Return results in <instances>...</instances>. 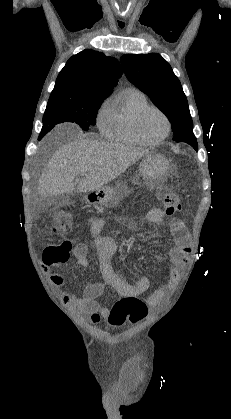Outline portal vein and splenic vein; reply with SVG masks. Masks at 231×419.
I'll return each instance as SVG.
<instances>
[{"mask_svg":"<svg viewBox=\"0 0 231 419\" xmlns=\"http://www.w3.org/2000/svg\"><path fill=\"white\" fill-rule=\"evenodd\" d=\"M85 175V173H81V176Z\"/></svg>","mask_w":231,"mask_h":419,"instance_id":"1","label":"portal vein and splenic vein"}]
</instances>
